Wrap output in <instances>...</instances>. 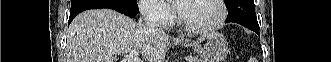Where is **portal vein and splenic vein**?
<instances>
[{
  "mask_svg": "<svg viewBox=\"0 0 331 62\" xmlns=\"http://www.w3.org/2000/svg\"><path fill=\"white\" fill-rule=\"evenodd\" d=\"M139 52L137 50H131L128 55L125 56L122 62H142L140 58L138 57ZM108 60H114V58L109 57Z\"/></svg>",
  "mask_w": 331,
  "mask_h": 62,
  "instance_id": "obj_1",
  "label": "portal vein and splenic vein"
}]
</instances>
